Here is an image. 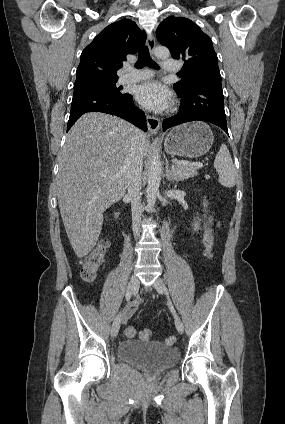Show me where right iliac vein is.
Returning <instances> with one entry per match:
<instances>
[{
  "label": "right iliac vein",
  "instance_id": "obj_1",
  "mask_svg": "<svg viewBox=\"0 0 285 424\" xmlns=\"http://www.w3.org/2000/svg\"><path fill=\"white\" fill-rule=\"evenodd\" d=\"M139 285H140L139 279L135 275L132 276L128 286V289L130 290L131 294L137 291V289L139 288ZM126 319H127L126 311H124L121 316L118 315L115 317L111 327V336L113 338H115L118 335L120 324L121 322L124 323Z\"/></svg>",
  "mask_w": 285,
  "mask_h": 424
}]
</instances>
